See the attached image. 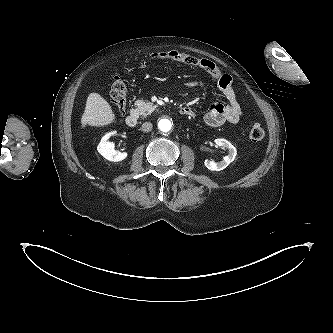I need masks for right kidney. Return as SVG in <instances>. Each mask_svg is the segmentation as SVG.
Segmentation results:
<instances>
[{
    "instance_id": "obj_1",
    "label": "right kidney",
    "mask_w": 333,
    "mask_h": 333,
    "mask_svg": "<svg viewBox=\"0 0 333 333\" xmlns=\"http://www.w3.org/2000/svg\"><path fill=\"white\" fill-rule=\"evenodd\" d=\"M116 132L105 134L97 146L98 152L107 160L119 162L127 157V152H119L114 149V143L109 141V138L115 135Z\"/></svg>"
}]
</instances>
